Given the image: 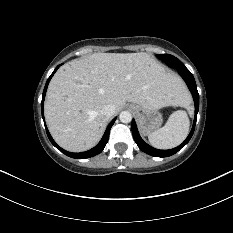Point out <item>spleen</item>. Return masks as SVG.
Masks as SVG:
<instances>
[{
	"label": "spleen",
	"instance_id": "spleen-1",
	"mask_svg": "<svg viewBox=\"0 0 233 233\" xmlns=\"http://www.w3.org/2000/svg\"><path fill=\"white\" fill-rule=\"evenodd\" d=\"M189 126L190 121L186 111H175L162 128L148 135V140L155 148L172 149L185 140L189 133Z\"/></svg>",
	"mask_w": 233,
	"mask_h": 233
}]
</instances>
